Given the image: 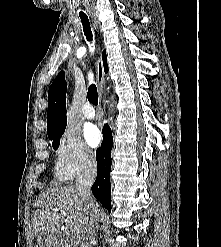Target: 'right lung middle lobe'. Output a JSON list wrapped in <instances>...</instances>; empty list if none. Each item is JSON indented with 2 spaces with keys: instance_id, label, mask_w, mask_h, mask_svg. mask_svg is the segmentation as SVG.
<instances>
[{
  "instance_id": "right-lung-middle-lobe-1",
  "label": "right lung middle lobe",
  "mask_w": 221,
  "mask_h": 247,
  "mask_svg": "<svg viewBox=\"0 0 221 247\" xmlns=\"http://www.w3.org/2000/svg\"><path fill=\"white\" fill-rule=\"evenodd\" d=\"M63 133H64V132H63ZM63 133H61V134H59L58 136H55V137H53V138H50V141H51V143H52V146H53V148H54L55 150H57L58 147H59L60 138H61V136H62Z\"/></svg>"
}]
</instances>
